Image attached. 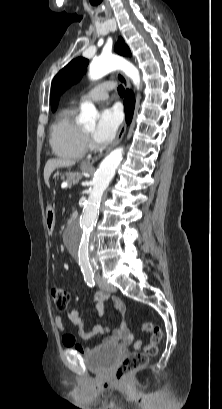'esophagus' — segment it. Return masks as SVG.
I'll return each instance as SVG.
<instances>
[{"label": "esophagus", "mask_w": 222, "mask_h": 409, "mask_svg": "<svg viewBox=\"0 0 222 409\" xmlns=\"http://www.w3.org/2000/svg\"><path fill=\"white\" fill-rule=\"evenodd\" d=\"M114 29L115 30L117 29L116 23L114 24ZM116 76H117V79L122 83V85L124 86L125 89L130 88V83H129L128 79L121 72H118ZM126 127H127L126 122H124L121 125V127H120V129L118 131L117 137L114 140V142L112 143V145L109 146L103 153H100V154H98V155H96L94 157L85 159L82 162L83 166L88 167V168H92L96 161H98L104 154L109 153L117 144H119L120 141L122 140L124 134H125Z\"/></svg>", "instance_id": "34e87169"}]
</instances>
